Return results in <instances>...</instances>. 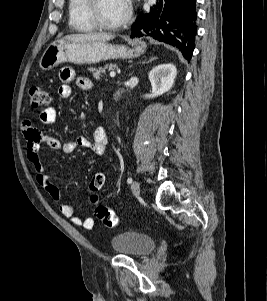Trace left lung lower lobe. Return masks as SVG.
<instances>
[{
  "instance_id": "obj_1",
  "label": "left lung lower lobe",
  "mask_w": 267,
  "mask_h": 301,
  "mask_svg": "<svg viewBox=\"0 0 267 301\" xmlns=\"http://www.w3.org/2000/svg\"><path fill=\"white\" fill-rule=\"evenodd\" d=\"M162 12L151 8V14H140L132 25L131 37H152L178 48L185 59H191L197 33L196 0H161Z\"/></svg>"
}]
</instances>
